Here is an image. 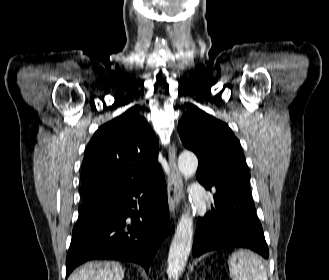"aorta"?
Listing matches in <instances>:
<instances>
[{
    "label": "aorta",
    "mask_w": 329,
    "mask_h": 280,
    "mask_svg": "<svg viewBox=\"0 0 329 280\" xmlns=\"http://www.w3.org/2000/svg\"><path fill=\"white\" fill-rule=\"evenodd\" d=\"M198 167V159L191 152H183L178 158L179 171L188 178L193 176ZM193 219L189 211L183 214L178 222L175 234L169 249L167 275L170 279L177 280L184 270L192 247Z\"/></svg>",
    "instance_id": "762f6f07"
}]
</instances>
